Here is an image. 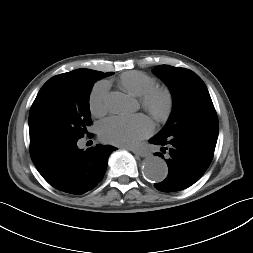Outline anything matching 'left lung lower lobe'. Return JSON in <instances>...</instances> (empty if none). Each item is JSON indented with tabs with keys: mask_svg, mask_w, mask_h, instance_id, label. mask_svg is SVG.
<instances>
[{
	"mask_svg": "<svg viewBox=\"0 0 253 253\" xmlns=\"http://www.w3.org/2000/svg\"><path fill=\"white\" fill-rule=\"evenodd\" d=\"M218 134L208 128L186 130L168 137L155 136L152 144L161 145L164 153L168 147L170 157L166 159L169 173L167 178L155 184L156 189L163 192H174L188 188L194 184L209 167ZM156 155H164L157 152Z\"/></svg>",
	"mask_w": 253,
	"mask_h": 253,
	"instance_id": "obj_1",
	"label": "left lung lower lobe"
}]
</instances>
